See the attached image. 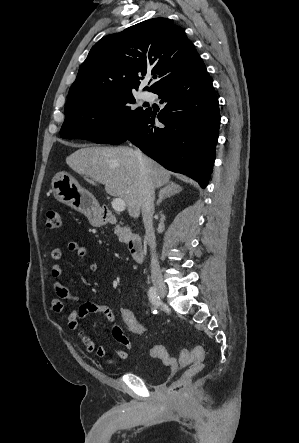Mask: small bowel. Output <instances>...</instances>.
I'll list each match as a JSON object with an SVG mask.
<instances>
[{
	"label": "small bowel",
	"instance_id": "c3829d8e",
	"mask_svg": "<svg viewBox=\"0 0 299 443\" xmlns=\"http://www.w3.org/2000/svg\"><path fill=\"white\" fill-rule=\"evenodd\" d=\"M70 252L76 253L80 258L84 259L87 255L85 247L76 241H69L66 244ZM50 257L56 263L52 266V276L56 278L53 288L56 297L51 300V307L57 313H65V319L69 329L77 331L81 340L82 346L87 353H94L99 358H105L107 363L113 364L119 361L126 360L128 352L125 349L116 350L111 356H107L106 349L103 346H97L81 329V320L88 314L101 313L107 320L112 337L126 349L131 348V341L124 334L123 330L117 325L115 321V314L113 310L102 304L95 302H85L77 310L66 311L65 301L77 302L79 296L70 292L61 282L60 278L64 275V267L57 263L62 258V250L54 248L50 252ZM88 270L92 273L97 272L98 265L95 262L88 264Z\"/></svg>",
	"mask_w": 299,
	"mask_h": 443
}]
</instances>
